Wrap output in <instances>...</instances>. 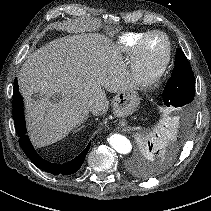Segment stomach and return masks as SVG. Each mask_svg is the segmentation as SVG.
Instances as JSON below:
<instances>
[{"label": "stomach", "instance_id": "0dacf381", "mask_svg": "<svg viewBox=\"0 0 211 211\" xmlns=\"http://www.w3.org/2000/svg\"><path fill=\"white\" fill-rule=\"evenodd\" d=\"M139 104V97L134 90L119 92L113 99V111L118 117L132 114Z\"/></svg>", "mask_w": 211, "mask_h": 211}]
</instances>
